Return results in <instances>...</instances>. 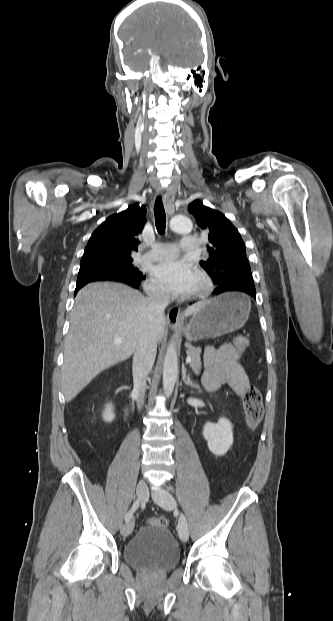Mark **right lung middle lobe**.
Segmentation results:
<instances>
[{"label":"right lung middle lobe","instance_id":"obj_1","mask_svg":"<svg viewBox=\"0 0 333 621\" xmlns=\"http://www.w3.org/2000/svg\"><path fill=\"white\" fill-rule=\"evenodd\" d=\"M132 257H98L83 258L80 262L78 276L87 274H105L138 279L143 276L132 265Z\"/></svg>","mask_w":333,"mask_h":621}]
</instances>
